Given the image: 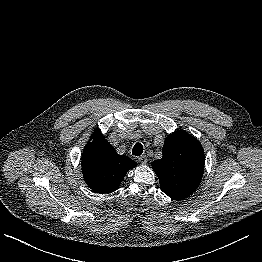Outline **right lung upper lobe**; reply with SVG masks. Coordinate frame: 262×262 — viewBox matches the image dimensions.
Wrapping results in <instances>:
<instances>
[{
	"instance_id": "right-lung-upper-lobe-1",
	"label": "right lung upper lobe",
	"mask_w": 262,
	"mask_h": 262,
	"mask_svg": "<svg viewBox=\"0 0 262 262\" xmlns=\"http://www.w3.org/2000/svg\"><path fill=\"white\" fill-rule=\"evenodd\" d=\"M86 184L95 192L104 194L118 189L126 173L137 166L125 155H119L96 129L81 157Z\"/></svg>"
}]
</instances>
